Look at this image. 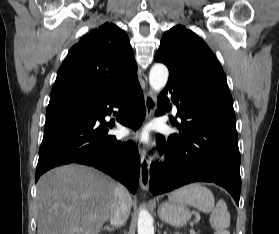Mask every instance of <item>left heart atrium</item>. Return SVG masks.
Masks as SVG:
<instances>
[{
	"mask_svg": "<svg viewBox=\"0 0 279 234\" xmlns=\"http://www.w3.org/2000/svg\"><path fill=\"white\" fill-rule=\"evenodd\" d=\"M137 136L141 141H145V142L148 141V139H149L148 129H142L141 131H139L137 133Z\"/></svg>",
	"mask_w": 279,
	"mask_h": 234,
	"instance_id": "obj_1",
	"label": "left heart atrium"
}]
</instances>
